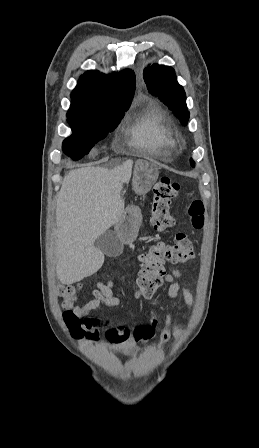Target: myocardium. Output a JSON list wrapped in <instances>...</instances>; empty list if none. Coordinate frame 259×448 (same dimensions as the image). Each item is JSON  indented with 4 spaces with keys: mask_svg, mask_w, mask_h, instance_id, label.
<instances>
[{
    "mask_svg": "<svg viewBox=\"0 0 259 448\" xmlns=\"http://www.w3.org/2000/svg\"><path fill=\"white\" fill-rule=\"evenodd\" d=\"M179 146V141L177 139L174 138V149L171 151V153L168 155L170 162L169 163H174V160L176 158V156L178 154H180V150L176 149ZM147 156H162L160 153H155V152H147Z\"/></svg>",
    "mask_w": 259,
    "mask_h": 448,
    "instance_id": "obj_1",
    "label": "myocardium"
}]
</instances>
